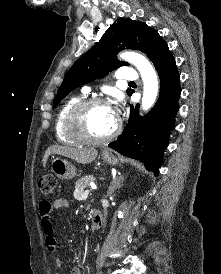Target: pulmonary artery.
<instances>
[{"label":"pulmonary artery","instance_id":"e3ab8cb5","mask_svg":"<svg viewBox=\"0 0 221 274\" xmlns=\"http://www.w3.org/2000/svg\"><path fill=\"white\" fill-rule=\"evenodd\" d=\"M116 77L119 80L122 81H134L137 79L138 75L137 72L131 68V67H122L120 68L117 73H116ZM90 87H84V91L86 93L90 92Z\"/></svg>","mask_w":221,"mask_h":274}]
</instances>
